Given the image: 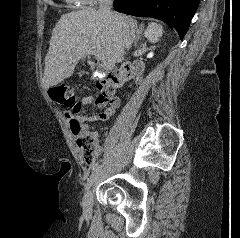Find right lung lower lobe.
<instances>
[{
	"instance_id": "right-lung-lower-lobe-1",
	"label": "right lung lower lobe",
	"mask_w": 240,
	"mask_h": 238,
	"mask_svg": "<svg viewBox=\"0 0 240 238\" xmlns=\"http://www.w3.org/2000/svg\"><path fill=\"white\" fill-rule=\"evenodd\" d=\"M117 12L134 16L153 17L172 25L182 39L200 0H114Z\"/></svg>"
}]
</instances>
